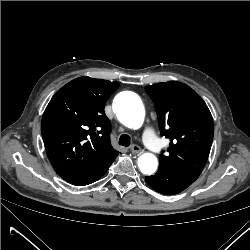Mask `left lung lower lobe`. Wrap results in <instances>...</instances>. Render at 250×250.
Instances as JSON below:
<instances>
[{"instance_id": "0a47b994", "label": "left lung lower lobe", "mask_w": 250, "mask_h": 250, "mask_svg": "<svg viewBox=\"0 0 250 250\" xmlns=\"http://www.w3.org/2000/svg\"><path fill=\"white\" fill-rule=\"evenodd\" d=\"M199 166L166 168L159 167L154 176H146L147 183L157 192L165 195L180 193L191 185L201 174Z\"/></svg>"}]
</instances>
